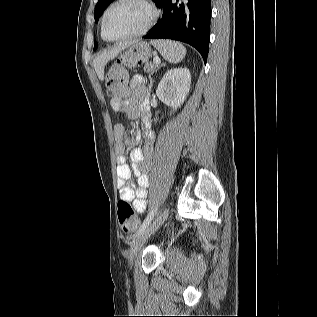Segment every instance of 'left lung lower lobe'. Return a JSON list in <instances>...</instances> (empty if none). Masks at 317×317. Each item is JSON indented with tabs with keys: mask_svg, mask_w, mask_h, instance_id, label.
Listing matches in <instances>:
<instances>
[{
	"mask_svg": "<svg viewBox=\"0 0 317 317\" xmlns=\"http://www.w3.org/2000/svg\"><path fill=\"white\" fill-rule=\"evenodd\" d=\"M179 1V0H176ZM211 0H164L163 16L143 38L173 39L195 47L207 60L210 40Z\"/></svg>",
	"mask_w": 317,
	"mask_h": 317,
	"instance_id": "left-lung-lower-lobe-1",
	"label": "left lung lower lobe"
}]
</instances>
